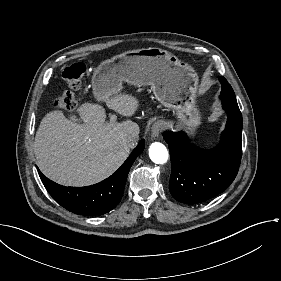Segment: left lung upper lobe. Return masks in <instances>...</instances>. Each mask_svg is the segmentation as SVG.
<instances>
[{"label": "left lung upper lobe", "mask_w": 281, "mask_h": 281, "mask_svg": "<svg viewBox=\"0 0 281 281\" xmlns=\"http://www.w3.org/2000/svg\"><path fill=\"white\" fill-rule=\"evenodd\" d=\"M219 80L222 85V91H221L220 98L226 97V98L236 99L235 93H234L232 87L230 86V84L227 82V80L224 77H220Z\"/></svg>", "instance_id": "left-lung-upper-lobe-1"}]
</instances>
